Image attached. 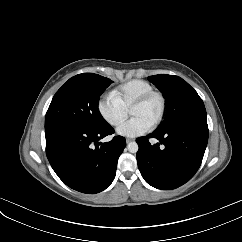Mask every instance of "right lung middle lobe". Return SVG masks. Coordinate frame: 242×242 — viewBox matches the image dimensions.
<instances>
[{"label": "right lung middle lobe", "mask_w": 242, "mask_h": 242, "mask_svg": "<svg viewBox=\"0 0 242 242\" xmlns=\"http://www.w3.org/2000/svg\"><path fill=\"white\" fill-rule=\"evenodd\" d=\"M111 83L110 79L93 73L70 78L54 95L46 113L45 128L64 123L106 127L108 123L99 112L98 102Z\"/></svg>", "instance_id": "dd1d6c3e"}]
</instances>
